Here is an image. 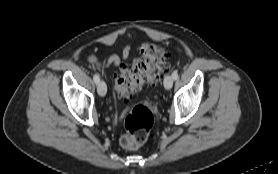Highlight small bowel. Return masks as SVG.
Segmentation results:
<instances>
[{
  "label": "small bowel",
  "instance_id": "small-bowel-1",
  "mask_svg": "<svg viewBox=\"0 0 278 174\" xmlns=\"http://www.w3.org/2000/svg\"><path fill=\"white\" fill-rule=\"evenodd\" d=\"M130 46L126 45L120 54L110 56L105 62H100L95 56L90 57V61L97 67L104 66H117L120 64L122 59H126L129 55Z\"/></svg>",
  "mask_w": 278,
  "mask_h": 174
}]
</instances>
